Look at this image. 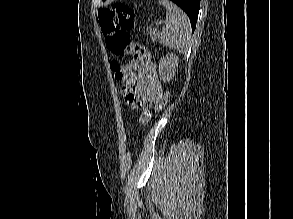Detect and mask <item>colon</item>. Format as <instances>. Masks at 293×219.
<instances>
[{
  "label": "colon",
  "instance_id": "colon-1",
  "mask_svg": "<svg viewBox=\"0 0 293 219\" xmlns=\"http://www.w3.org/2000/svg\"><path fill=\"white\" fill-rule=\"evenodd\" d=\"M98 17L107 48L118 56H132V60L126 65H121L116 60L111 61L110 68L118 80H122L127 72L137 71L149 62L145 47L131 42L129 30L134 26V12L127 4L118 2L111 7L101 8ZM169 100L170 92L165 91L156 105V111L166 107Z\"/></svg>",
  "mask_w": 293,
  "mask_h": 219
}]
</instances>
